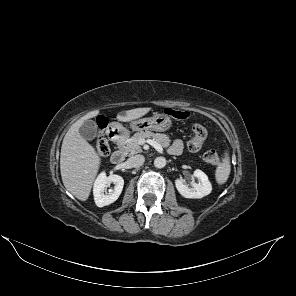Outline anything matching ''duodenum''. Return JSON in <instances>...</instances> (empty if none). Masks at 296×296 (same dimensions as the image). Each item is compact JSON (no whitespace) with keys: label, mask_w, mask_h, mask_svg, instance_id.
Masks as SVG:
<instances>
[{"label":"duodenum","mask_w":296,"mask_h":296,"mask_svg":"<svg viewBox=\"0 0 296 296\" xmlns=\"http://www.w3.org/2000/svg\"><path fill=\"white\" fill-rule=\"evenodd\" d=\"M108 135L109 137L117 142L120 146L119 149L115 150L112 155H111V162L115 165H119L121 164L124 159H125V152L124 150L122 149V146L125 142V132L122 131L121 129H118L117 127L115 126H111L109 127L108 129Z\"/></svg>","instance_id":"410a0bca"}]
</instances>
